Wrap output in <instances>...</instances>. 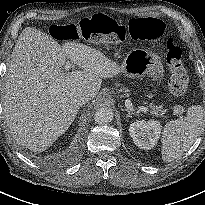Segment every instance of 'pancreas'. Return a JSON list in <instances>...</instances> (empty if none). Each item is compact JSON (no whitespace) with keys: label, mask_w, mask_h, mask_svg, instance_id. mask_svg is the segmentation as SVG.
I'll return each instance as SVG.
<instances>
[{"label":"pancreas","mask_w":205,"mask_h":205,"mask_svg":"<svg viewBox=\"0 0 205 205\" xmlns=\"http://www.w3.org/2000/svg\"><path fill=\"white\" fill-rule=\"evenodd\" d=\"M150 112L152 114H155L156 116H162L163 114H165L166 109H163L162 105H155V104H150Z\"/></svg>","instance_id":"1"}]
</instances>
